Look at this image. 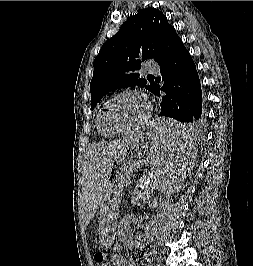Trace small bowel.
<instances>
[{"label": "small bowel", "mask_w": 253, "mask_h": 266, "mask_svg": "<svg viewBox=\"0 0 253 266\" xmlns=\"http://www.w3.org/2000/svg\"><path fill=\"white\" fill-rule=\"evenodd\" d=\"M118 250V248H117ZM152 256L150 254H145L144 255V261L146 263V266H151L152 265ZM118 266H136L133 262L128 261L124 258H118Z\"/></svg>", "instance_id": "1"}]
</instances>
